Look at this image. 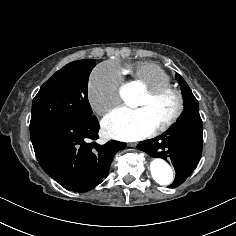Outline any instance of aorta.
<instances>
[{"label": "aorta", "instance_id": "obj_1", "mask_svg": "<svg viewBox=\"0 0 236 236\" xmlns=\"http://www.w3.org/2000/svg\"><path fill=\"white\" fill-rule=\"evenodd\" d=\"M126 101L129 104H134L136 101L135 93L126 91ZM151 175L155 182L159 185H169L173 182L174 174L170 165L161 158H154L150 163Z\"/></svg>", "mask_w": 236, "mask_h": 236}]
</instances>
